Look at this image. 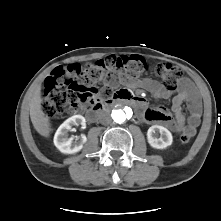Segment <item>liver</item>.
<instances>
[{"mask_svg": "<svg viewBox=\"0 0 221 221\" xmlns=\"http://www.w3.org/2000/svg\"><path fill=\"white\" fill-rule=\"evenodd\" d=\"M40 86L34 92L30 104V118L35 130L43 137H49L51 133V123L49 117L42 111V99Z\"/></svg>", "mask_w": 221, "mask_h": 221, "instance_id": "liver-1", "label": "liver"}]
</instances>
